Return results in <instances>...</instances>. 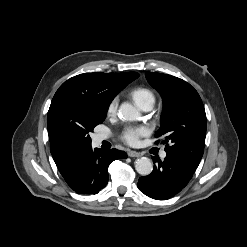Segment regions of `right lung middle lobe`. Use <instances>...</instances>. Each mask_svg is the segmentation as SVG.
Instances as JSON below:
<instances>
[{"mask_svg": "<svg viewBox=\"0 0 247 247\" xmlns=\"http://www.w3.org/2000/svg\"><path fill=\"white\" fill-rule=\"evenodd\" d=\"M109 104H97L88 99L66 97L50 106L48 119L60 135L71 144L84 148L91 146L89 134L101 124Z\"/></svg>", "mask_w": 247, "mask_h": 247, "instance_id": "right-lung-middle-lobe-1", "label": "right lung middle lobe"}]
</instances>
